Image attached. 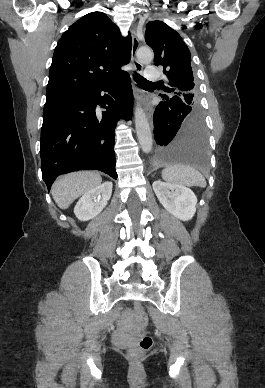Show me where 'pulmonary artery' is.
<instances>
[{
    "label": "pulmonary artery",
    "instance_id": "pulmonary-artery-1",
    "mask_svg": "<svg viewBox=\"0 0 265 388\" xmlns=\"http://www.w3.org/2000/svg\"><path fill=\"white\" fill-rule=\"evenodd\" d=\"M146 72H142V79H149L150 82H157L158 76L157 74V64H148Z\"/></svg>",
    "mask_w": 265,
    "mask_h": 388
}]
</instances>
